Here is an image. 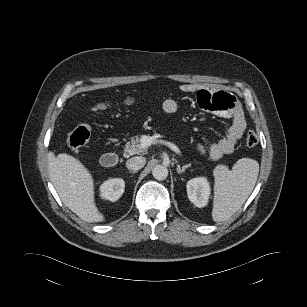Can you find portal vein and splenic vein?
<instances>
[{"label": "portal vein and splenic vein", "mask_w": 307, "mask_h": 307, "mask_svg": "<svg viewBox=\"0 0 307 307\" xmlns=\"http://www.w3.org/2000/svg\"><path fill=\"white\" fill-rule=\"evenodd\" d=\"M159 142L158 140H155V138L151 137V136H147V135H144L142 136L141 138V146L143 148H146L148 146H150L151 144H155ZM168 147H170L174 152H176L177 154H180L181 151L180 149L173 143L171 142H168V141H165L164 142Z\"/></svg>", "instance_id": "obj_1"}]
</instances>
